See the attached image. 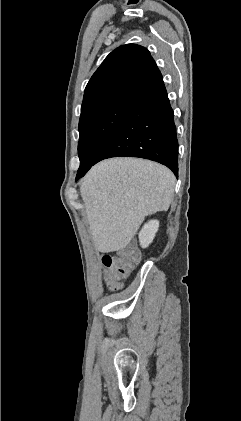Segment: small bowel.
<instances>
[{
  "label": "small bowel",
  "mask_w": 241,
  "mask_h": 421,
  "mask_svg": "<svg viewBox=\"0 0 241 421\" xmlns=\"http://www.w3.org/2000/svg\"><path fill=\"white\" fill-rule=\"evenodd\" d=\"M115 287L114 286H112L110 289H114Z\"/></svg>",
  "instance_id": "small-bowel-1"
}]
</instances>
